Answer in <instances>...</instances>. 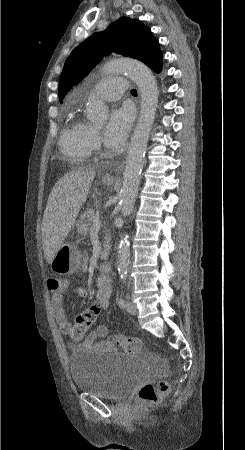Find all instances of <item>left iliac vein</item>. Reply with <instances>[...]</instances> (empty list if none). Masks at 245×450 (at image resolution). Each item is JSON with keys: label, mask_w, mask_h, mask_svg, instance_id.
<instances>
[{"label": "left iliac vein", "mask_w": 245, "mask_h": 450, "mask_svg": "<svg viewBox=\"0 0 245 450\" xmlns=\"http://www.w3.org/2000/svg\"><path fill=\"white\" fill-rule=\"evenodd\" d=\"M126 310L129 314L135 316L138 313V309L135 304H133L131 301L126 302Z\"/></svg>", "instance_id": "4c4485c4"}]
</instances>
